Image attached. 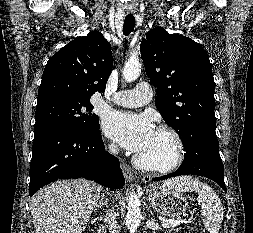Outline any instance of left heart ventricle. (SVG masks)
Segmentation results:
<instances>
[{"mask_svg": "<svg viewBox=\"0 0 253 233\" xmlns=\"http://www.w3.org/2000/svg\"><path fill=\"white\" fill-rule=\"evenodd\" d=\"M174 151L172 140L167 135L155 131L151 141L139 156L148 161L165 163L173 157Z\"/></svg>", "mask_w": 253, "mask_h": 233, "instance_id": "b2bd125f", "label": "left heart ventricle"}]
</instances>
